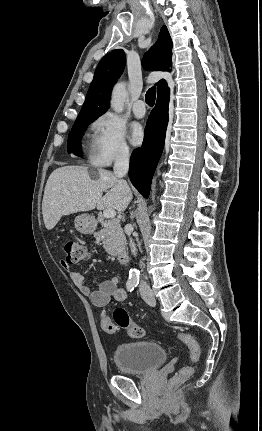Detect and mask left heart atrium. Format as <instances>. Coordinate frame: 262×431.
<instances>
[{"label":"left heart atrium","instance_id":"left-heart-atrium-1","mask_svg":"<svg viewBox=\"0 0 262 431\" xmlns=\"http://www.w3.org/2000/svg\"><path fill=\"white\" fill-rule=\"evenodd\" d=\"M130 141L134 146H138L143 142L144 133L139 124H133L130 128Z\"/></svg>","mask_w":262,"mask_h":431}]
</instances>
